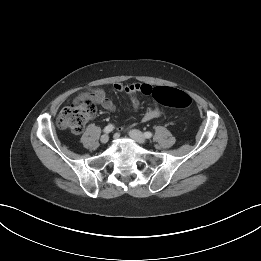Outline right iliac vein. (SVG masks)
Listing matches in <instances>:
<instances>
[{
    "instance_id": "1",
    "label": "right iliac vein",
    "mask_w": 261,
    "mask_h": 261,
    "mask_svg": "<svg viewBox=\"0 0 261 261\" xmlns=\"http://www.w3.org/2000/svg\"><path fill=\"white\" fill-rule=\"evenodd\" d=\"M108 140H109V136L107 134L102 135L101 138H100V141L103 144L107 143Z\"/></svg>"
}]
</instances>
